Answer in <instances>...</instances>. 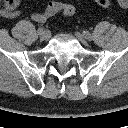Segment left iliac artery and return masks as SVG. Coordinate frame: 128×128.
Segmentation results:
<instances>
[{
	"mask_svg": "<svg viewBox=\"0 0 128 128\" xmlns=\"http://www.w3.org/2000/svg\"><path fill=\"white\" fill-rule=\"evenodd\" d=\"M83 34H84L86 39H88V40L92 39V36H91V34L88 31H84Z\"/></svg>",
	"mask_w": 128,
	"mask_h": 128,
	"instance_id": "1",
	"label": "left iliac artery"
}]
</instances>
